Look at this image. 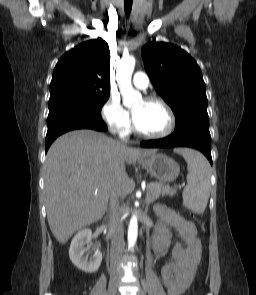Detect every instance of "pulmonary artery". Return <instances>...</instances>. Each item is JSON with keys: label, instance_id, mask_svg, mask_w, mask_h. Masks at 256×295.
Segmentation results:
<instances>
[{"label": "pulmonary artery", "instance_id": "e3ab8cb5", "mask_svg": "<svg viewBox=\"0 0 256 295\" xmlns=\"http://www.w3.org/2000/svg\"><path fill=\"white\" fill-rule=\"evenodd\" d=\"M132 82L138 89L145 90L149 86V77L143 72H136L133 76Z\"/></svg>", "mask_w": 256, "mask_h": 295}]
</instances>
